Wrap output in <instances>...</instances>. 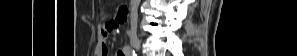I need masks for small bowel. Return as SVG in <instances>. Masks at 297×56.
I'll return each instance as SVG.
<instances>
[{"mask_svg": "<svg viewBox=\"0 0 297 56\" xmlns=\"http://www.w3.org/2000/svg\"><path fill=\"white\" fill-rule=\"evenodd\" d=\"M126 18V12L124 10H120L116 17L110 21H107L100 27L99 36L97 40V44L95 47V55L96 56H107L109 53L108 45H107V37L112 30L117 28L120 23H122ZM126 55L124 52H120L118 56Z\"/></svg>", "mask_w": 297, "mask_h": 56, "instance_id": "1", "label": "small bowel"}]
</instances>
